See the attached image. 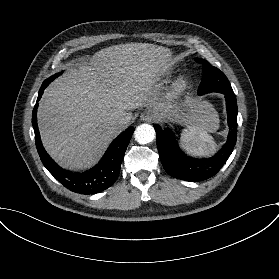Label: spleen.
I'll return each mask as SVG.
<instances>
[{"label": "spleen", "instance_id": "spleen-1", "mask_svg": "<svg viewBox=\"0 0 279 279\" xmlns=\"http://www.w3.org/2000/svg\"><path fill=\"white\" fill-rule=\"evenodd\" d=\"M206 103L202 118L190 124L181 133V146L192 156H211L217 150V144L208 132L219 127V116L212 104Z\"/></svg>", "mask_w": 279, "mask_h": 279}]
</instances>
